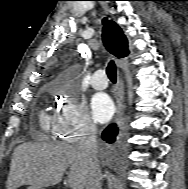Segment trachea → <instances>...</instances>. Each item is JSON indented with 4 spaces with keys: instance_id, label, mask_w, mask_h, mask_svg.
Masks as SVG:
<instances>
[{
    "instance_id": "1",
    "label": "trachea",
    "mask_w": 188,
    "mask_h": 189,
    "mask_svg": "<svg viewBox=\"0 0 188 189\" xmlns=\"http://www.w3.org/2000/svg\"><path fill=\"white\" fill-rule=\"evenodd\" d=\"M106 73L108 75V78L112 81V82H116V78H117V71H116V65L114 63V61H110L107 69H106Z\"/></svg>"
}]
</instances>
